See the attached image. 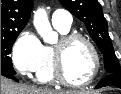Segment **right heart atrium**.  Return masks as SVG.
<instances>
[{"label": "right heart atrium", "instance_id": "d8ad5b80", "mask_svg": "<svg viewBox=\"0 0 121 94\" xmlns=\"http://www.w3.org/2000/svg\"><path fill=\"white\" fill-rule=\"evenodd\" d=\"M42 59V44L37 36L23 32L14 43L11 51V61L15 70L23 76L36 71Z\"/></svg>", "mask_w": 121, "mask_h": 94}]
</instances>
